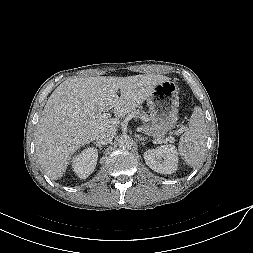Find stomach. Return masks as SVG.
<instances>
[{"label": "stomach", "instance_id": "0dacf381", "mask_svg": "<svg viewBox=\"0 0 253 253\" xmlns=\"http://www.w3.org/2000/svg\"><path fill=\"white\" fill-rule=\"evenodd\" d=\"M150 112V127L161 138L174 129L178 121L179 96L175 82L166 80L158 84L147 98Z\"/></svg>", "mask_w": 253, "mask_h": 253}]
</instances>
